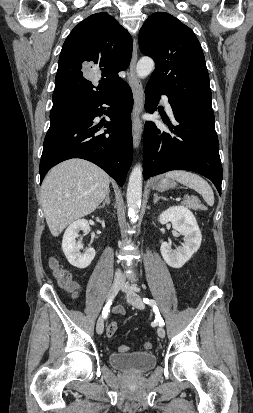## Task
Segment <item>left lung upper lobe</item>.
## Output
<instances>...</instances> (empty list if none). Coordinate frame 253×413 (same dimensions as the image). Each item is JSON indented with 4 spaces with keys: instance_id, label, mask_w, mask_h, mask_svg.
<instances>
[{
    "instance_id": "1",
    "label": "left lung upper lobe",
    "mask_w": 253,
    "mask_h": 413,
    "mask_svg": "<svg viewBox=\"0 0 253 413\" xmlns=\"http://www.w3.org/2000/svg\"><path fill=\"white\" fill-rule=\"evenodd\" d=\"M139 48L156 63L149 82L171 105L214 119L204 54L189 27L168 13H154L140 30Z\"/></svg>"
}]
</instances>
